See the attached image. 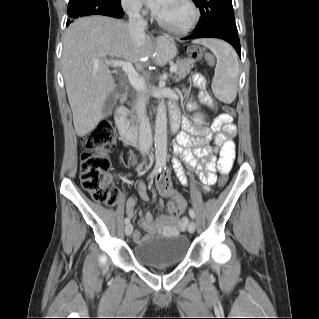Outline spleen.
<instances>
[{"mask_svg": "<svg viewBox=\"0 0 319 319\" xmlns=\"http://www.w3.org/2000/svg\"><path fill=\"white\" fill-rule=\"evenodd\" d=\"M201 43L209 48L217 58L211 85L213 94L219 101L230 104L237 95L239 75L237 55L233 48L224 41L203 39Z\"/></svg>", "mask_w": 319, "mask_h": 319, "instance_id": "1", "label": "spleen"}]
</instances>
